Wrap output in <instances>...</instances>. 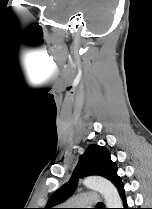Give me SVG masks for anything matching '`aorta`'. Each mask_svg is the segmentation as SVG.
I'll list each match as a JSON object with an SVG mask.
<instances>
[{"label": "aorta", "mask_w": 152, "mask_h": 209, "mask_svg": "<svg viewBox=\"0 0 152 209\" xmlns=\"http://www.w3.org/2000/svg\"><path fill=\"white\" fill-rule=\"evenodd\" d=\"M85 187L100 192L108 208H121V199L115 186L105 178L91 176L83 180Z\"/></svg>", "instance_id": "aorta-1"}]
</instances>
